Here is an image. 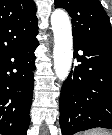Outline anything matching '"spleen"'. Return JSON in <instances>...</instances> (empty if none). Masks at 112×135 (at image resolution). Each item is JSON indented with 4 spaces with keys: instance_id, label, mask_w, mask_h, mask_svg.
<instances>
[{
    "instance_id": "obj_1",
    "label": "spleen",
    "mask_w": 112,
    "mask_h": 135,
    "mask_svg": "<svg viewBox=\"0 0 112 135\" xmlns=\"http://www.w3.org/2000/svg\"><path fill=\"white\" fill-rule=\"evenodd\" d=\"M80 135H112V133L104 129H93Z\"/></svg>"
}]
</instances>
